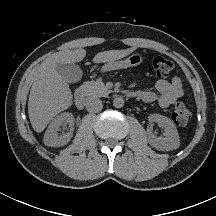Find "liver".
Listing matches in <instances>:
<instances>
[{
    "mask_svg": "<svg viewBox=\"0 0 216 216\" xmlns=\"http://www.w3.org/2000/svg\"><path fill=\"white\" fill-rule=\"evenodd\" d=\"M133 50L134 48L99 52L94 56L93 62L110 64L127 56ZM85 56L84 49L60 51L40 65L28 101L29 119L36 132H42L54 116L72 105L71 89L57 72V64L80 62Z\"/></svg>",
    "mask_w": 216,
    "mask_h": 216,
    "instance_id": "6515ba94",
    "label": "liver"
}]
</instances>
